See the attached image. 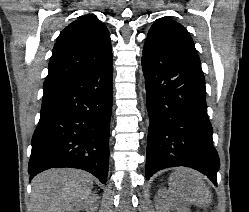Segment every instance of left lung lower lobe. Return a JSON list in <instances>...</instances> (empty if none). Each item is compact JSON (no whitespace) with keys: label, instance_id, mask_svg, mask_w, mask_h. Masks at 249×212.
Listing matches in <instances>:
<instances>
[{"label":"left lung lower lobe","instance_id":"left-lung-lower-lobe-1","mask_svg":"<svg viewBox=\"0 0 249 212\" xmlns=\"http://www.w3.org/2000/svg\"><path fill=\"white\" fill-rule=\"evenodd\" d=\"M142 68L150 120L146 178L164 168L186 166L217 185L219 156L213 146L201 66L154 49L143 51Z\"/></svg>","mask_w":249,"mask_h":212}]
</instances>
